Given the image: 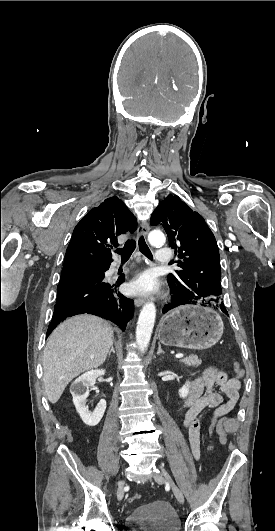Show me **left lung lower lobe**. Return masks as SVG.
<instances>
[{
    "label": "left lung lower lobe",
    "mask_w": 275,
    "mask_h": 531,
    "mask_svg": "<svg viewBox=\"0 0 275 531\" xmlns=\"http://www.w3.org/2000/svg\"><path fill=\"white\" fill-rule=\"evenodd\" d=\"M176 306H178V305H176V304L173 303V301H172V303L167 304V305L164 306V309H163L162 312L165 313V312H167L168 310H170V309H172V308H174V307H176ZM224 313H226V314L228 315V313H227L226 310L224 311Z\"/></svg>",
    "instance_id": "1"
}]
</instances>
